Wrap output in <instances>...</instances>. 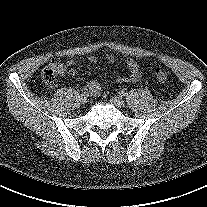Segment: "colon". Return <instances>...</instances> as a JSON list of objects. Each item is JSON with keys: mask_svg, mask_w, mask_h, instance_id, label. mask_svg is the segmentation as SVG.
Instances as JSON below:
<instances>
[{"mask_svg": "<svg viewBox=\"0 0 207 207\" xmlns=\"http://www.w3.org/2000/svg\"><path fill=\"white\" fill-rule=\"evenodd\" d=\"M60 74V62L53 61L43 69L42 78L47 85L52 86L55 84L56 78ZM154 75L159 82H164L167 79V72L161 68H156L154 71Z\"/></svg>", "mask_w": 207, "mask_h": 207, "instance_id": "colon-1", "label": "colon"}]
</instances>
